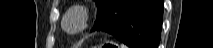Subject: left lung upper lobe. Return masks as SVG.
Listing matches in <instances>:
<instances>
[{"label":"left lung upper lobe","instance_id":"left-lung-upper-lobe-1","mask_svg":"<svg viewBox=\"0 0 213 48\" xmlns=\"http://www.w3.org/2000/svg\"><path fill=\"white\" fill-rule=\"evenodd\" d=\"M98 8V15L106 8V6L109 4L110 0H95Z\"/></svg>","mask_w":213,"mask_h":48}]
</instances>
